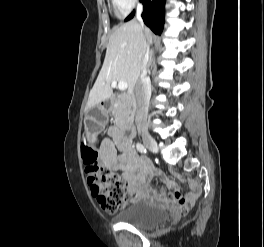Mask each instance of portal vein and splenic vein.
I'll return each mask as SVG.
<instances>
[{
	"instance_id": "1",
	"label": "portal vein and splenic vein",
	"mask_w": 264,
	"mask_h": 247,
	"mask_svg": "<svg viewBox=\"0 0 264 247\" xmlns=\"http://www.w3.org/2000/svg\"><path fill=\"white\" fill-rule=\"evenodd\" d=\"M111 86L114 88L117 86V82L116 81H113ZM128 88V83L125 82V81H119L118 82V89L121 90V91H124Z\"/></svg>"
}]
</instances>
